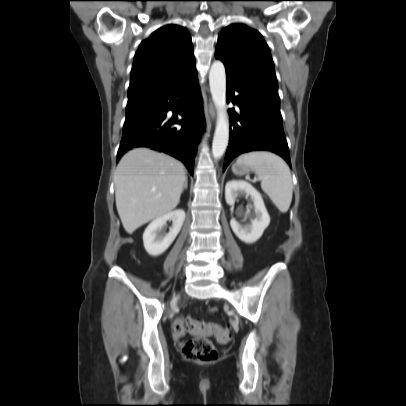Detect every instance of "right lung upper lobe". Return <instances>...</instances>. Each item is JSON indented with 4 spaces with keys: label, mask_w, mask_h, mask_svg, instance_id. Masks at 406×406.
Instances as JSON below:
<instances>
[{
    "label": "right lung upper lobe",
    "mask_w": 406,
    "mask_h": 406,
    "mask_svg": "<svg viewBox=\"0 0 406 406\" xmlns=\"http://www.w3.org/2000/svg\"><path fill=\"white\" fill-rule=\"evenodd\" d=\"M197 74L187 29L165 25L141 42L135 53L127 106L153 100Z\"/></svg>",
    "instance_id": "obj_1"
}]
</instances>
